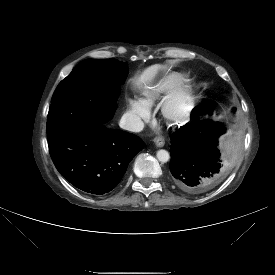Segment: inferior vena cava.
Here are the masks:
<instances>
[{
  "label": "inferior vena cava",
  "mask_w": 275,
  "mask_h": 275,
  "mask_svg": "<svg viewBox=\"0 0 275 275\" xmlns=\"http://www.w3.org/2000/svg\"><path fill=\"white\" fill-rule=\"evenodd\" d=\"M119 126L128 131L140 132L144 128V123L139 117L125 113L120 119Z\"/></svg>",
  "instance_id": "1"
}]
</instances>
